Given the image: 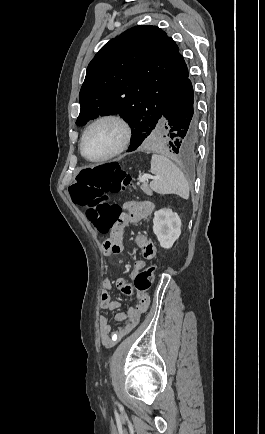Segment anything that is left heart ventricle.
I'll return each mask as SVG.
<instances>
[{
    "instance_id": "1",
    "label": "left heart ventricle",
    "mask_w": 265,
    "mask_h": 434,
    "mask_svg": "<svg viewBox=\"0 0 265 434\" xmlns=\"http://www.w3.org/2000/svg\"><path fill=\"white\" fill-rule=\"evenodd\" d=\"M120 139L121 130L118 125L111 122L101 123L87 134L83 152L91 159L102 158L118 146Z\"/></svg>"
}]
</instances>
